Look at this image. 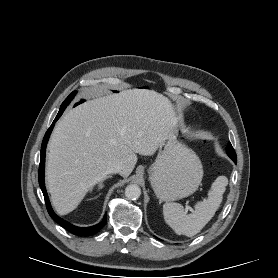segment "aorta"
Segmentation results:
<instances>
[{"instance_id":"obj_1","label":"aorta","mask_w":278,"mask_h":278,"mask_svg":"<svg viewBox=\"0 0 278 278\" xmlns=\"http://www.w3.org/2000/svg\"><path fill=\"white\" fill-rule=\"evenodd\" d=\"M141 195V189L136 184H130L125 188V196L130 200H136Z\"/></svg>"}]
</instances>
